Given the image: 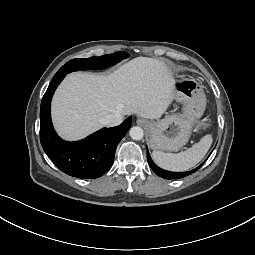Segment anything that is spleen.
<instances>
[{"mask_svg": "<svg viewBox=\"0 0 255 255\" xmlns=\"http://www.w3.org/2000/svg\"><path fill=\"white\" fill-rule=\"evenodd\" d=\"M212 136L205 135L191 148L177 154L153 151L152 156L157 165L169 171H186L199 163L212 144Z\"/></svg>", "mask_w": 255, "mask_h": 255, "instance_id": "3e777b00", "label": "spleen"}]
</instances>
